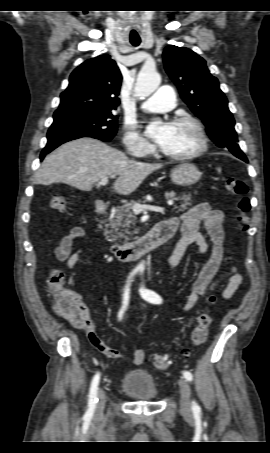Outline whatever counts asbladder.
Instances as JSON below:
<instances>
[{"mask_svg": "<svg viewBox=\"0 0 270 453\" xmlns=\"http://www.w3.org/2000/svg\"><path fill=\"white\" fill-rule=\"evenodd\" d=\"M121 390L139 402L154 401L158 395L154 379L149 373L141 369L128 371L124 375Z\"/></svg>", "mask_w": 270, "mask_h": 453, "instance_id": "31cf9c89", "label": "bladder"}]
</instances>
